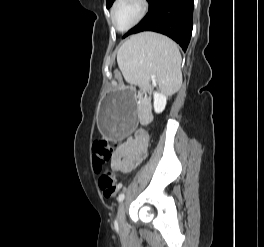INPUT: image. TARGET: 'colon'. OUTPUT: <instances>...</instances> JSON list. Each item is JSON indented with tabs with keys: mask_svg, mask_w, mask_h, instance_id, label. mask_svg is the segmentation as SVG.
I'll return each mask as SVG.
<instances>
[{
	"mask_svg": "<svg viewBox=\"0 0 264 247\" xmlns=\"http://www.w3.org/2000/svg\"><path fill=\"white\" fill-rule=\"evenodd\" d=\"M92 161L95 172L99 173L111 159L112 147L105 140H98L92 146ZM98 185L105 197H114L119 192V185L112 172L107 171L100 174Z\"/></svg>",
	"mask_w": 264,
	"mask_h": 247,
	"instance_id": "5ec220e1",
	"label": "colon"
}]
</instances>
